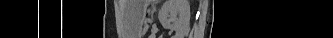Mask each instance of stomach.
<instances>
[{
  "label": "stomach",
  "instance_id": "stomach-1",
  "mask_svg": "<svg viewBox=\"0 0 333 38\" xmlns=\"http://www.w3.org/2000/svg\"><path fill=\"white\" fill-rule=\"evenodd\" d=\"M145 2H146L145 0H140L139 1V8H140V11H139V25H140V27H142L144 19H145V14H146V11H145V8H144Z\"/></svg>",
  "mask_w": 333,
  "mask_h": 38
}]
</instances>
